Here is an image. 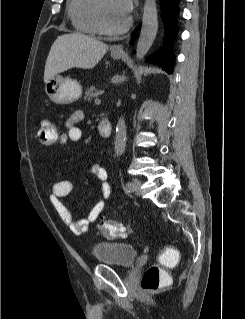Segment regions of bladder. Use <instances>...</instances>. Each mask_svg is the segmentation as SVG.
Segmentation results:
<instances>
[{
	"mask_svg": "<svg viewBox=\"0 0 245 319\" xmlns=\"http://www.w3.org/2000/svg\"><path fill=\"white\" fill-rule=\"evenodd\" d=\"M93 258L102 264L131 266L136 257V247L130 243L101 241L92 247Z\"/></svg>",
	"mask_w": 245,
	"mask_h": 319,
	"instance_id": "obj_1",
	"label": "bladder"
}]
</instances>
